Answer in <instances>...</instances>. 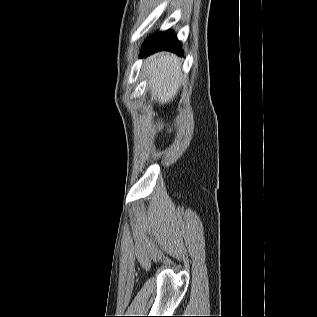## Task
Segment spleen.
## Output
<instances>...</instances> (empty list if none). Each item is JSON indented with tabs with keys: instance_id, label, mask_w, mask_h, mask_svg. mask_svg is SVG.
<instances>
[{
	"instance_id": "obj_1",
	"label": "spleen",
	"mask_w": 317,
	"mask_h": 317,
	"mask_svg": "<svg viewBox=\"0 0 317 317\" xmlns=\"http://www.w3.org/2000/svg\"><path fill=\"white\" fill-rule=\"evenodd\" d=\"M180 65L179 59L168 53L151 58L146 73L159 102H169L177 94L182 79Z\"/></svg>"
}]
</instances>
